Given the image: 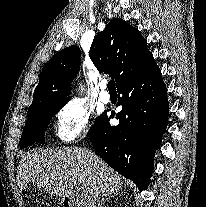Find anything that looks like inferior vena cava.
Masks as SVG:
<instances>
[{
	"mask_svg": "<svg viewBox=\"0 0 206 207\" xmlns=\"http://www.w3.org/2000/svg\"><path fill=\"white\" fill-rule=\"evenodd\" d=\"M98 199H99V196H98V194H97L95 197H93V199H92L91 201H89L88 206H89V207H96V201H97L98 204H99Z\"/></svg>",
	"mask_w": 206,
	"mask_h": 207,
	"instance_id": "inferior-vena-cava-1",
	"label": "inferior vena cava"
}]
</instances>
